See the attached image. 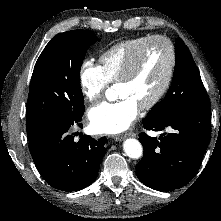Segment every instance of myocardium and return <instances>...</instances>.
Returning a JSON list of instances; mask_svg holds the SVG:
<instances>
[{
  "label": "myocardium",
  "instance_id": "1",
  "mask_svg": "<svg viewBox=\"0 0 221 221\" xmlns=\"http://www.w3.org/2000/svg\"><path fill=\"white\" fill-rule=\"evenodd\" d=\"M156 41H162L168 47L169 55H170L169 68H168V72H167L166 78L162 86L148 102L140 106L141 110H150L154 108L155 106H157L161 102V100L164 98V96L166 95V93L168 92L171 86V83L173 81L174 74H175L176 63H177V54H176V49H175V45L173 41L169 37L164 36V35H154V36L149 37L128 60L122 75L117 80L118 84L129 82L134 77V75L136 74L139 68L144 51L150 44Z\"/></svg>",
  "mask_w": 221,
  "mask_h": 221
}]
</instances>
